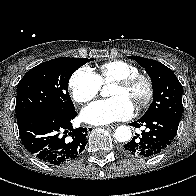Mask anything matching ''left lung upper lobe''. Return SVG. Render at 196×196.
I'll list each match as a JSON object with an SVG mask.
<instances>
[{
	"label": "left lung upper lobe",
	"mask_w": 196,
	"mask_h": 196,
	"mask_svg": "<svg viewBox=\"0 0 196 196\" xmlns=\"http://www.w3.org/2000/svg\"><path fill=\"white\" fill-rule=\"evenodd\" d=\"M138 62L148 73L153 86V102L143 116L165 115L180 122L182 116V85L164 64L140 56H128Z\"/></svg>",
	"instance_id": "obj_1"
}]
</instances>
